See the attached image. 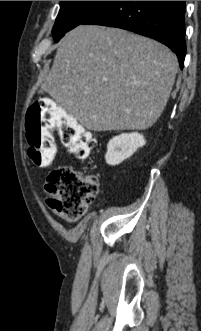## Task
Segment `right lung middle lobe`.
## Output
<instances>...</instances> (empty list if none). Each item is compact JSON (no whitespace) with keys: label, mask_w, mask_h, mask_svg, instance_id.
Returning <instances> with one entry per match:
<instances>
[{"label":"right lung middle lobe","mask_w":201,"mask_h":331,"mask_svg":"<svg viewBox=\"0 0 201 331\" xmlns=\"http://www.w3.org/2000/svg\"><path fill=\"white\" fill-rule=\"evenodd\" d=\"M110 1H61L52 33L58 42L66 32L83 24L90 16Z\"/></svg>","instance_id":"obj_1"}]
</instances>
